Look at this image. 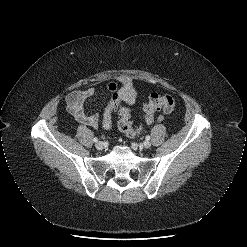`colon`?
Segmentation results:
<instances>
[{
    "label": "colon",
    "mask_w": 247,
    "mask_h": 247,
    "mask_svg": "<svg viewBox=\"0 0 247 247\" xmlns=\"http://www.w3.org/2000/svg\"><path fill=\"white\" fill-rule=\"evenodd\" d=\"M175 108L176 103L172 97L153 93L150 95L148 102L144 106V123L151 124L154 121L155 113L158 111L171 113ZM113 113H118V128L126 137L135 138L143 132L144 125L133 128L130 109L122 104L119 93L113 94L112 99L104 112L102 124L105 129H110Z\"/></svg>",
    "instance_id": "obj_1"
}]
</instances>
